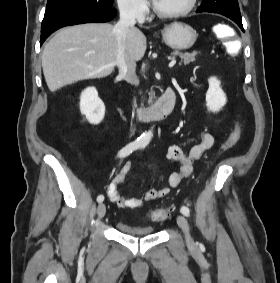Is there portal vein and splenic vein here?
<instances>
[{
    "mask_svg": "<svg viewBox=\"0 0 280 283\" xmlns=\"http://www.w3.org/2000/svg\"><path fill=\"white\" fill-rule=\"evenodd\" d=\"M176 64V59H172L169 63V67H173Z\"/></svg>",
    "mask_w": 280,
    "mask_h": 283,
    "instance_id": "portal-vein-and-splenic-vein-1",
    "label": "portal vein and splenic vein"
}]
</instances>
